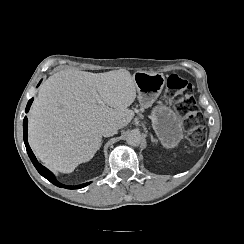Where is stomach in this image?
Returning <instances> with one entry per match:
<instances>
[{
    "mask_svg": "<svg viewBox=\"0 0 244 244\" xmlns=\"http://www.w3.org/2000/svg\"><path fill=\"white\" fill-rule=\"evenodd\" d=\"M140 106L148 108L158 99L166 78L163 73L138 71L134 75ZM152 128L166 150L175 149L184 139L183 120L168 105L157 104L150 112Z\"/></svg>",
    "mask_w": 244,
    "mask_h": 244,
    "instance_id": "1",
    "label": "stomach"
}]
</instances>
